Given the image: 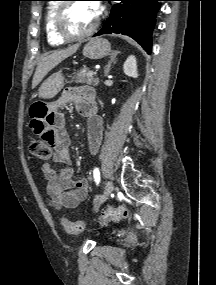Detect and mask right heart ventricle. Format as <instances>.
Here are the masks:
<instances>
[{
    "label": "right heart ventricle",
    "mask_w": 216,
    "mask_h": 285,
    "mask_svg": "<svg viewBox=\"0 0 216 285\" xmlns=\"http://www.w3.org/2000/svg\"><path fill=\"white\" fill-rule=\"evenodd\" d=\"M59 6H60L59 2H51L47 7L45 15L44 24H45L46 38L51 46H60L65 43V40L58 37L54 29V18Z\"/></svg>",
    "instance_id": "1"
}]
</instances>
